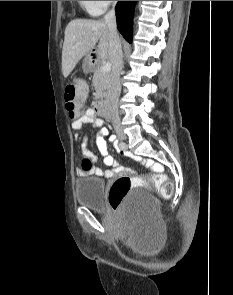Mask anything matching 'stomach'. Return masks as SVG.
<instances>
[{"mask_svg": "<svg viewBox=\"0 0 233 295\" xmlns=\"http://www.w3.org/2000/svg\"><path fill=\"white\" fill-rule=\"evenodd\" d=\"M91 61L92 60L90 58V55L89 54L86 55L85 60H84V63H83V70L85 72H89L92 69L93 65H92V62Z\"/></svg>", "mask_w": 233, "mask_h": 295, "instance_id": "obj_1", "label": "stomach"}]
</instances>
